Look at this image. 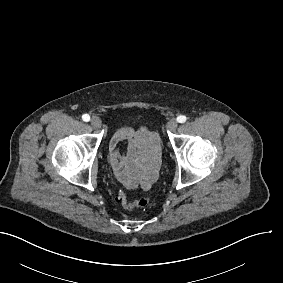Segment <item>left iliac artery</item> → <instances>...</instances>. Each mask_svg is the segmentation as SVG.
Instances as JSON below:
<instances>
[{
  "mask_svg": "<svg viewBox=\"0 0 283 283\" xmlns=\"http://www.w3.org/2000/svg\"><path fill=\"white\" fill-rule=\"evenodd\" d=\"M179 123H184L186 121V116L180 115L177 117Z\"/></svg>",
  "mask_w": 283,
  "mask_h": 283,
  "instance_id": "obj_1",
  "label": "left iliac artery"
}]
</instances>
